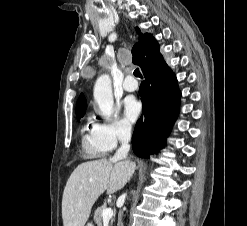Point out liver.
Here are the masks:
<instances>
[{
	"instance_id": "6515ba94",
	"label": "liver",
	"mask_w": 247,
	"mask_h": 226,
	"mask_svg": "<svg viewBox=\"0 0 247 226\" xmlns=\"http://www.w3.org/2000/svg\"><path fill=\"white\" fill-rule=\"evenodd\" d=\"M128 161L98 159L78 165L70 175L62 198L64 226H85L99 196L122 189L134 172Z\"/></svg>"
}]
</instances>
